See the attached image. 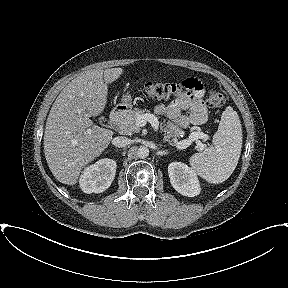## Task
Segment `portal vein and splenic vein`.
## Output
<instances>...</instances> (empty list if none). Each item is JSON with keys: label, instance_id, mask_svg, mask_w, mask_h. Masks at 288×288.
I'll use <instances>...</instances> for the list:
<instances>
[{"label": "portal vein and splenic vein", "instance_id": "1", "mask_svg": "<svg viewBox=\"0 0 288 288\" xmlns=\"http://www.w3.org/2000/svg\"><path fill=\"white\" fill-rule=\"evenodd\" d=\"M146 122L151 123L154 130L158 131L159 122L157 120V117H155V115L150 114V113H145V114L139 115L136 118V123H137V126H139V127L145 126ZM199 138H201V139L207 138V135L204 134L203 132H193L189 136L188 140H182V141L177 142L176 147L178 149H185V148L189 147L193 141L198 140ZM197 145H198L200 150L204 149V145L201 142H198Z\"/></svg>", "mask_w": 288, "mask_h": 288}]
</instances>
